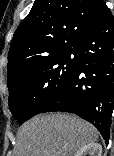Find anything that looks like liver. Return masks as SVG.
Returning a JSON list of instances; mask_svg holds the SVG:
<instances>
[{
  "instance_id": "obj_1",
  "label": "liver",
  "mask_w": 114,
  "mask_h": 156,
  "mask_svg": "<svg viewBox=\"0 0 114 156\" xmlns=\"http://www.w3.org/2000/svg\"><path fill=\"white\" fill-rule=\"evenodd\" d=\"M98 137L93 125L74 115H37L18 130L15 156H72Z\"/></svg>"
}]
</instances>
